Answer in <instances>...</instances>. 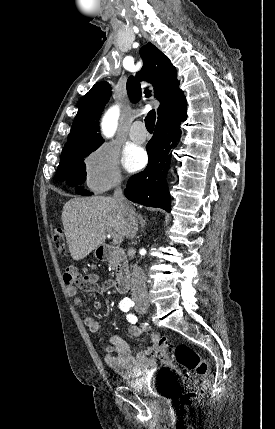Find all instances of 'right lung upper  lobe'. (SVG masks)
<instances>
[{
  "instance_id": "right-lung-upper-lobe-1",
  "label": "right lung upper lobe",
  "mask_w": 275,
  "mask_h": 429,
  "mask_svg": "<svg viewBox=\"0 0 275 429\" xmlns=\"http://www.w3.org/2000/svg\"><path fill=\"white\" fill-rule=\"evenodd\" d=\"M141 55L144 58L143 67L136 77H129L126 85L131 99L138 101L141 97L140 81L150 80L154 86L155 98L160 101L157 123L186 112L187 102L170 60L151 43L141 49ZM110 95V84L100 82L83 97L61 158L94 151L103 143L104 140L98 133V121Z\"/></svg>"
}]
</instances>
